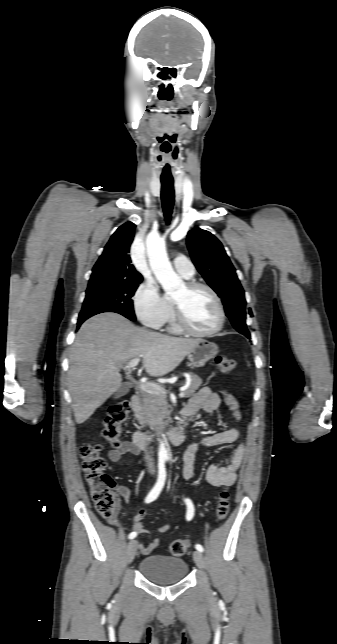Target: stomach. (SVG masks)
Segmentation results:
<instances>
[{
	"label": "stomach",
	"mask_w": 337,
	"mask_h": 644,
	"mask_svg": "<svg viewBox=\"0 0 337 644\" xmlns=\"http://www.w3.org/2000/svg\"><path fill=\"white\" fill-rule=\"evenodd\" d=\"M218 353V346L204 339H200L197 346L187 355L193 367H203L206 362L214 358Z\"/></svg>",
	"instance_id": "0dacf381"
}]
</instances>
